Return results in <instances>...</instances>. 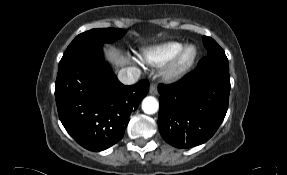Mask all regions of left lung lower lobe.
<instances>
[{
	"label": "left lung lower lobe",
	"instance_id": "0a47b994",
	"mask_svg": "<svg viewBox=\"0 0 287 175\" xmlns=\"http://www.w3.org/2000/svg\"><path fill=\"white\" fill-rule=\"evenodd\" d=\"M230 87L229 74L221 71L194 70L179 82L160 84L158 127L163 139L181 149L209 140L226 115Z\"/></svg>",
	"mask_w": 287,
	"mask_h": 175
}]
</instances>
